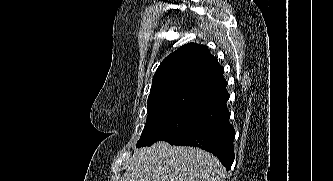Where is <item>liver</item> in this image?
<instances>
[{
	"instance_id": "obj_1",
	"label": "liver",
	"mask_w": 333,
	"mask_h": 181,
	"mask_svg": "<svg viewBox=\"0 0 333 181\" xmlns=\"http://www.w3.org/2000/svg\"><path fill=\"white\" fill-rule=\"evenodd\" d=\"M225 173L209 152L159 141L134 153L120 181H225Z\"/></svg>"
}]
</instances>
